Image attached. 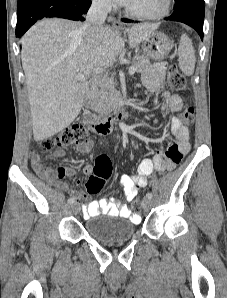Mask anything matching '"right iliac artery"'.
I'll list each match as a JSON object with an SVG mask.
<instances>
[{
	"label": "right iliac artery",
	"mask_w": 227,
	"mask_h": 298,
	"mask_svg": "<svg viewBox=\"0 0 227 298\" xmlns=\"http://www.w3.org/2000/svg\"><path fill=\"white\" fill-rule=\"evenodd\" d=\"M75 202V199L73 198V197H70L69 199H68V203L69 204H73Z\"/></svg>",
	"instance_id": "82829eb1"
}]
</instances>
